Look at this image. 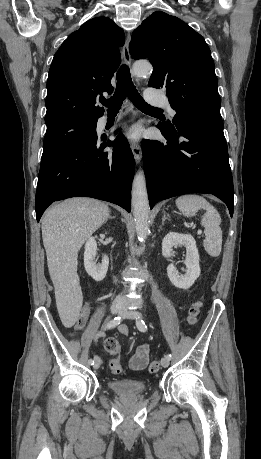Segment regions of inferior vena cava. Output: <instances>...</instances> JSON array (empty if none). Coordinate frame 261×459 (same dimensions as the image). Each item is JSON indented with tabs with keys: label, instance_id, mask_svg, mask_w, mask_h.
<instances>
[{
	"label": "inferior vena cava",
	"instance_id": "1",
	"mask_svg": "<svg viewBox=\"0 0 261 459\" xmlns=\"http://www.w3.org/2000/svg\"><path fill=\"white\" fill-rule=\"evenodd\" d=\"M123 300H124V297H123L122 295H119V296L117 297V301H118V302H122Z\"/></svg>",
	"mask_w": 261,
	"mask_h": 459
}]
</instances>
